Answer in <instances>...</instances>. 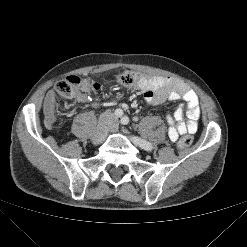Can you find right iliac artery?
<instances>
[{"mask_svg": "<svg viewBox=\"0 0 247 247\" xmlns=\"http://www.w3.org/2000/svg\"><path fill=\"white\" fill-rule=\"evenodd\" d=\"M115 115H116V117H121L123 115V111L121 109H117L115 111Z\"/></svg>", "mask_w": 247, "mask_h": 247, "instance_id": "obj_1", "label": "right iliac artery"}]
</instances>
